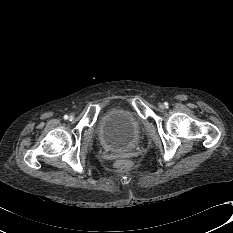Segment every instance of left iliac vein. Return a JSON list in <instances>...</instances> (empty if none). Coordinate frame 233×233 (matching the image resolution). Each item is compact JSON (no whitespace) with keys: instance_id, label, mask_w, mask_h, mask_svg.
<instances>
[{"instance_id":"1","label":"left iliac vein","mask_w":233,"mask_h":233,"mask_svg":"<svg viewBox=\"0 0 233 233\" xmlns=\"http://www.w3.org/2000/svg\"><path fill=\"white\" fill-rule=\"evenodd\" d=\"M158 106H159L160 109H164L165 108V105L163 103H159Z\"/></svg>"}]
</instances>
